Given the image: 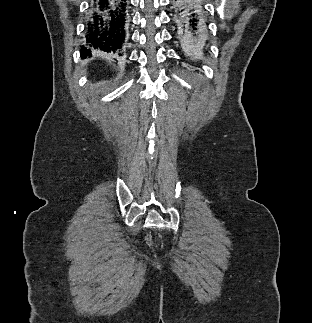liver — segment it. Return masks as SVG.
Wrapping results in <instances>:
<instances>
[{
	"label": "liver",
	"instance_id": "6515ba94",
	"mask_svg": "<svg viewBox=\"0 0 312 323\" xmlns=\"http://www.w3.org/2000/svg\"><path fill=\"white\" fill-rule=\"evenodd\" d=\"M90 60H93V58H87V60H83V62H81V66H85V64H87V62H90Z\"/></svg>",
	"mask_w": 312,
	"mask_h": 323
}]
</instances>
